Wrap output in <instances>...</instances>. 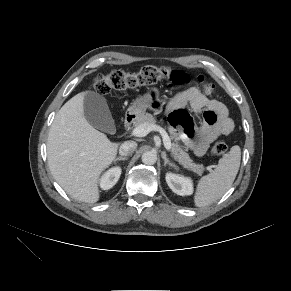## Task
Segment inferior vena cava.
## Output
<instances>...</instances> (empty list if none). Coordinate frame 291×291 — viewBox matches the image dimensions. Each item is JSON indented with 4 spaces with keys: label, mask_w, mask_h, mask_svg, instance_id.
Returning <instances> with one entry per match:
<instances>
[{
    "label": "inferior vena cava",
    "mask_w": 291,
    "mask_h": 291,
    "mask_svg": "<svg viewBox=\"0 0 291 291\" xmlns=\"http://www.w3.org/2000/svg\"><path fill=\"white\" fill-rule=\"evenodd\" d=\"M137 148V143L134 141H125L119 148V153L122 156L132 155Z\"/></svg>",
    "instance_id": "obj_1"
}]
</instances>
